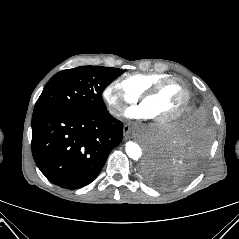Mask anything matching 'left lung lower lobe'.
Returning <instances> with one entry per match:
<instances>
[{"label": "left lung lower lobe", "mask_w": 239, "mask_h": 239, "mask_svg": "<svg viewBox=\"0 0 239 239\" xmlns=\"http://www.w3.org/2000/svg\"><path fill=\"white\" fill-rule=\"evenodd\" d=\"M209 115L196 101L167 135L151 146L143 174L155 187L171 189L199 171L210 145Z\"/></svg>", "instance_id": "obj_1"}]
</instances>
